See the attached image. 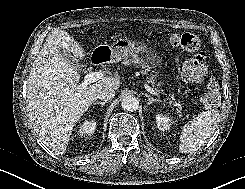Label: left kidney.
<instances>
[{
    "instance_id": "1",
    "label": "left kidney",
    "mask_w": 245,
    "mask_h": 189,
    "mask_svg": "<svg viewBox=\"0 0 245 189\" xmlns=\"http://www.w3.org/2000/svg\"><path fill=\"white\" fill-rule=\"evenodd\" d=\"M156 123L159 130H168L170 127V119L163 114L156 115Z\"/></svg>"
}]
</instances>
